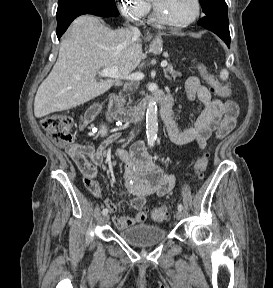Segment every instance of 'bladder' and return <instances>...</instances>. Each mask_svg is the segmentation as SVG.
I'll return each mask as SVG.
<instances>
[{"mask_svg": "<svg viewBox=\"0 0 273 288\" xmlns=\"http://www.w3.org/2000/svg\"><path fill=\"white\" fill-rule=\"evenodd\" d=\"M167 236L166 231L158 226L139 224L125 228L119 237L125 243L135 247H146L162 242Z\"/></svg>", "mask_w": 273, "mask_h": 288, "instance_id": "31cf9c89", "label": "bladder"}]
</instances>
